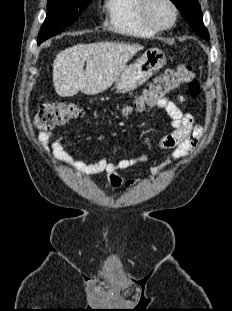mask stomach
<instances>
[{"label":"stomach","mask_w":232,"mask_h":311,"mask_svg":"<svg viewBox=\"0 0 232 311\" xmlns=\"http://www.w3.org/2000/svg\"><path fill=\"white\" fill-rule=\"evenodd\" d=\"M166 64L165 53L158 48L146 50L134 63L126 66L115 81V89L131 91L145 83Z\"/></svg>","instance_id":"obj_1"}]
</instances>
